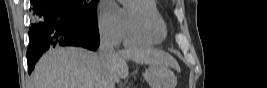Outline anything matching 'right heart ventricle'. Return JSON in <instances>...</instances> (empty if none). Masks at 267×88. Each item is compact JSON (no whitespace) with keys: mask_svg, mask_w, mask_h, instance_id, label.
<instances>
[{"mask_svg":"<svg viewBox=\"0 0 267 88\" xmlns=\"http://www.w3.org/2000/svg\"><path fill=\"white\" fill-rule=\"evenodd\" d=\"M133 8L150 22L148 27L135 25L131 21ZM125 28L124 42L128 46H152L160 44L166 37V23L155 0H135L123 9Z\"/></svg>","mask_w":267,"mask_h":88,"instance_id":"1","label":"right heart ventricle"}]
</instances>
